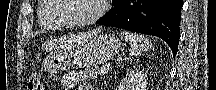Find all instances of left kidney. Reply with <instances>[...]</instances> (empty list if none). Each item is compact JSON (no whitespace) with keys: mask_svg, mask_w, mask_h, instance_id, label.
<instances>
[{"mask_svg":"<svg viewBox=\"0 0 216 90\" xmlns=\"http://www.w3.org/2000/svg\"><path fill=\"white\" fill-rule=\"evenodd\" d=\"M147 74L142 70H133L120 82L118 90H147Z\"/></svg>","mask_w":216,"mask_h":90,"instance_id":"1","label":"left kidney"}]
</instances>
